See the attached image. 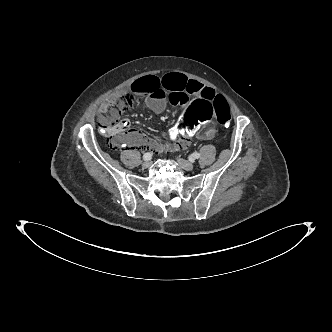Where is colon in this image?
<instances>
[{"instance_id":"colon-1","label":"colon","mask_w":332,"mask_h":332,"mask_svg":"<svg viewBox=\"0 0 332 332\" xmlns=\"http://www.w3.org/2000/svg\"><path fill=\"white\" fill-rule=\"evenodd\" d=\"M133 98L124 95L111 102L105 109L103 123L108 137L110 149H117L122 144L121 133L118 130L120 117L133 107ZM213 116L218 122L227 126L231 120L230 108L226 100L221 96H216L211 103L206 97L201 95L187 99L180 107L179 115L170 126L168 141L175 139H189L202 134L212 121Z\"/></svg>"}]
</instances>
